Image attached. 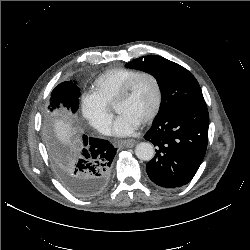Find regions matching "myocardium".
<instances>
[{
	"mask_svg": "<svg viewBox=\"0 0 250 250\" xmlns=\"http://www.w3.org/2000/svg\"><path fill=\"white\" fill-rule=\"evenodd\" d=\"M141 77H149L155 86V91H156V103H155V107L153 109V111L150 113L149 116H147L140 124L141 125H147L149 123H151L159 114L161 107H162V103H163V91H162V86L161 83L158 79V77L149 71H141L139 73H137L135 76H133L131 79H129L124 86L121 88V90L119 91L118 95L116 96L114 103H113V107L116 110V107L123 103L125 100L128 99L134 85L136 84V82L141 78Z\"/></svg>",
	"mask_w": 250,
	"mask_h": 250,
	"instance_id": "obj_1",
	"label": "myocardium"
}]
</instances>
